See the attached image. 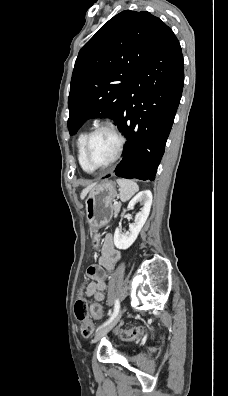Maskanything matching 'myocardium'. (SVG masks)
I'll list each match as a JSON object with an SVG mask.
<instances>
[{"label":"myocardium","instance_id":"1","mask_svg":"<svg viewBox=\"0 0 228 396\" xmlns=\"http://www.w3.org/2000/svg\"><path fill=\"white\" fill-rule=\"evenodd\" d=\"M101 130H109V131H111L114 134V136L117 139V148H116V151H115V154H114L113 158L108 163H106L104 165L97 166V165H93L91 163L88 151H89V146H90V143H91V140H92L93 136L97 132H99ZM124 143H125V141H124V138H123L122 134L118 131V129L113 124H111L109 122H103V123L97 125L94 129H92L87 134V137H86L85 142H84L83 157H84V161H85L86 165L92 171L102 170V169H106L108 167H111L120 158L121 153H122L123 148H124Z\"/></svg>","mask_w":228,"mask_h":396}]
</instances>
